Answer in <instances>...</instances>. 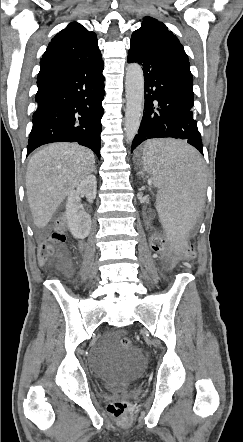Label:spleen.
Segmentation results:
<instances>
[{
    "label": "spleen",
    "mask_w": 243,
    "mask_h": 442,
    "mask_svg": "<svg viewBox=\"0 0 243 442\" xmlns=\"http://www.w3.org/2000/svg\"><path fill=\"white\" fill-rule=\"evenodd\" d=\"M143 178H151L158 186L160 219L167 226L169 251H188L187 244L178 237H189L193 219L201 214L204 184L201 176L203 162L199 153L183 141L150 140L141 155Z\"/></svg>",
    "instance_id": "obj_1"
}]
</instances>
